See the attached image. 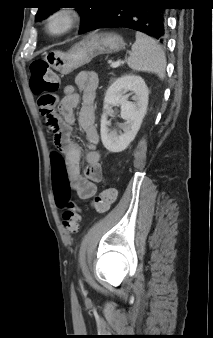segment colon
I'll return each mask as SVG.
<instances>
[{
  "label": "colon",
  "instance_id": "obj_1",
  "mask_svg": "<svg viewBox=\"0 0 213 338\" xmlns=\"http://www.w3.org/2000/svg\"><path fill=\"white\" fill-rule=\"evenodd\" d=\"M30 68L31 90L35 95L39 96V110L44 117L46 124L51 129L54 145L59 147L62 143L63 133L58 125V119L54 114L55 98L53 96V94L60 88L59 78L44 60H34L31 63ZM53 189L56 204L64 208V229L71 234L77 233L81 220L80 210L72 201L70 189L63 171L55 173ZM115 199V189H104L95 196L92 202V207L99 213H106L109 211L110 206L115 201Z\"/></svg>",
  "mask_w": 213,
  "mask_h": 338
}]
</instances>
